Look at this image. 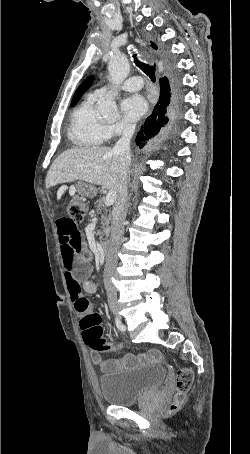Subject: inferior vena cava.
<instances>
[{"label": "inferior vena cava", "instance_id": "inferior-vena-cava-1", "mask_svg": "<svg viewBox=\"0 0 250 454\" xmlns=\"http://www.w3.org/2000/svg\"><path fill=\"white\" fill-rule=\"evenodd\" d=\"M135 131V125H127L122 130L121 138L117 141L114 153L121 156L126 165V173L118 191V198L112 212L110 244L106 255L104 268V286L107 293L108 303L113 306L117 304V291L111 281L113 273L117 266V253L124 235V221L127 214L128 188L127 173L131 160L130 141Z\"/></svg>", "mask_w": 250, "mask_h": 454}]
</instances>
